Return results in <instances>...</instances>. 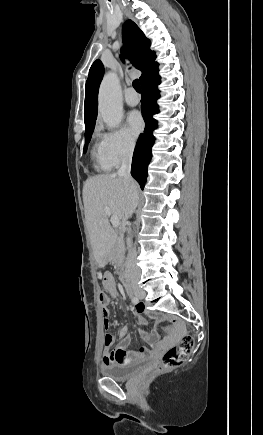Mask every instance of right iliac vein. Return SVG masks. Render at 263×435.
Wrapping results in <instances>:
<instances>
[{"label":"right iliac vein","instance_id":"63e3f726","mask_svg":"<svg viewBox=\"0 0 263 435\" xmlns=\"http://www.w3.org/2000/svg\"><path fill=\"white\" fill-rule=\"evenodd\" d=\"M133 293L135 294V296L139 297V298H143L145 296V292L140 289L139 287H135L133 289Z\"/></svg>","mask_w":263,"mask_h":435}]
</instances>
